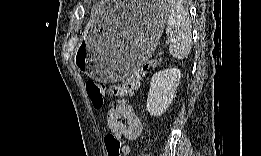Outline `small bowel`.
Masks as SVG:
<instances>
[{"label":"small bowel","mask_w":261,"mask_h":156,"mask_svg":"<svg viewBox=\"0 0 261 156\" xmlns=\"http://www.w3.org/2000/svg\"><path fill=\"white\" fill-rule=\"evenodd\" d=\"M108 133L123 142V155L130 149L124 144L126 140H136L142 133L143 125L140 116L127 100H117L110 104L107 113Z\"/></svg>","instance_id":"obj_1"}]
</instances>
